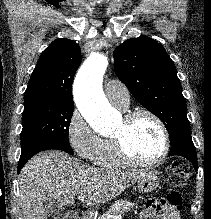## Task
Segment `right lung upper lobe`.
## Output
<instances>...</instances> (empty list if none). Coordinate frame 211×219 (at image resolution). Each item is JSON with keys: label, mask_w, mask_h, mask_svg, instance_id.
I'll return each instance as SVG.
<instances>
[{"label": "right lung upper lobe", "mask_w": 211, "mask_h": 219, "mask_svg": "<svg viewBox=\"0 0 211 219\" xmlns=\"http://www.w3.org/2000/svg\"><path fill=\"white\" fill-rule=\"evenodd\" d=\"M81 63V51L70 39H56L42 52L30 77L24 102L50 100L73 104L71 86Z\"/></svg>", "instance_id": "obj_1"}]
</instances>
